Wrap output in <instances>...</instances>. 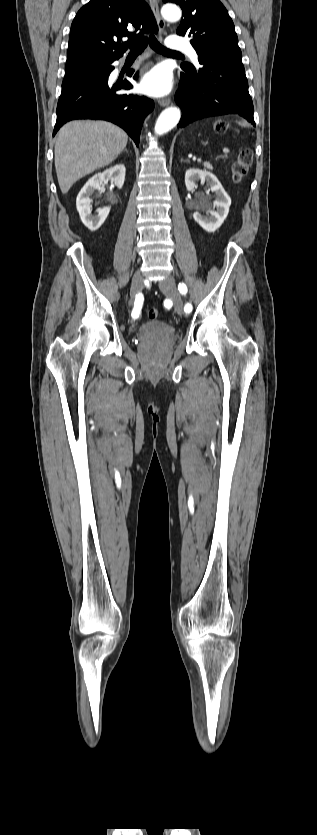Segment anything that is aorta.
I'll use <instances>...</instances> for the list:
<instances>
[{
    "mask_svg": "<svg viewBox=\"0 0 317 835\" xmlns=\"http://www.w3.org/2000/svg\"><path fill=\"white\" fill-rule=\"evenodd\" d=\"M162 16L165 20L174 22L181 18V10L178 6L173 4H166L161 10ZM181 117L180 110L176 107H169L165 109L158 117L155 124V133L162 135L173 129L179 122ZM137 830V829H136Z\"/></svg>",
    "mask_w": 317,
    "mask_h": 835,
    "instance_id": "1",
    "label": "aorta"
}]
</instances>
